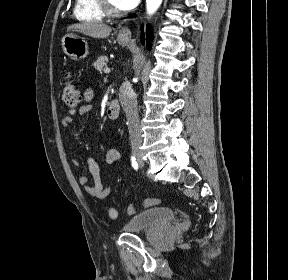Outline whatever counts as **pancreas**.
Masks as SVG:
<instances>
[{"label": "pancreas", "instance_id": "cf45deb5", "mask_svg": "<svg viewBox=\"0 0 288 280\" xmlns=\"http://www.w3.org/2000/svg\"><path fill=\"white\" fill-rule=\"evenodd\" d=\"M108 58L107 56H100L94 63V67L101 73L102 70L107 67Z\"/></svg>", "mask_w": 288, "mask_h": 280}]
</instances>
